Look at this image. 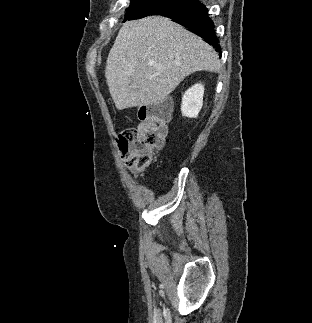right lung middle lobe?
<instances>
[{
	"instance_id": "right-lung-middle-lobe-1",
	"label": "right lung middle lobe",
	"mask_w": 312,
	"mask_h": 323,
	"mask_svg": "<svg viewBox=\"0 0 312 323\" xmlns=\"http://www.w3.org/2000/svg\"><path fill=\"white\" fill-rule=\"evenodd\" d=\"M125 19L133 20L154 14H166L190 5L194 0H130Z\"/></svg>"
}]
</instances>
